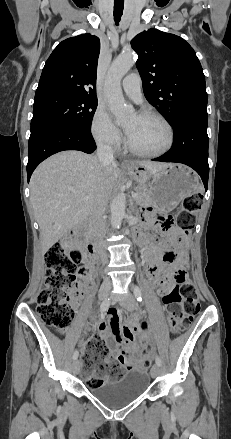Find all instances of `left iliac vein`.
Instances as JSON below:
<instances>
[{"label":"left iliac vein","instance_id":"1","mask_svg":"<svg viewBox=\"0 0 231 439\" xmlns=\"http://www.w3.org/2000/svg\"><path fill=\"white\" fill-rule=\"evenodd\" d=\"M136 300L132 294H129L125 299L121 300V305L128 311H133L135 309ZM160 373V366L154 364L151 368V376L155 378Z\"/></svg>","mask_w":231,"mask_h":439}]
</instances>
